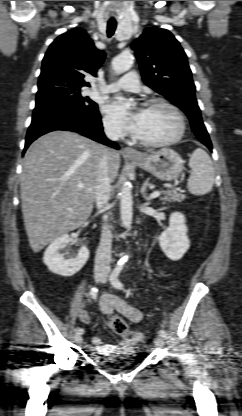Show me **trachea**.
Here are the masks:
<instances>
[{
	"mask_svg": "<svg viewBox=\"0 0 242 416\" xmlns=\"http://www.w3.org/2000/svg\"><path fill=\"white\" fill-rule=\"evenodd\" d=\"M116 27H117L116 22H108L107 24V36L108 37H111L114 34Z\"/></svg>",
	"mask_w": 242,
	"mask_h": 416,
	"instance_id": "trachea-1",
	"label": "trachea"
}]
</instances>
